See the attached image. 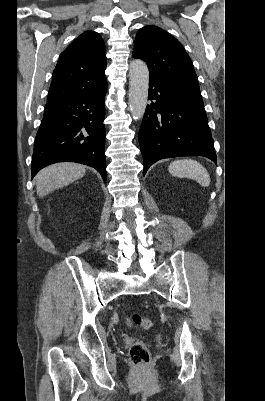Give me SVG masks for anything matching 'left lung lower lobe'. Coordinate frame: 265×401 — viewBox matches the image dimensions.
Wrapping results in <instances>:
<instances>
[{
  "instance_id": "obj_1",
  "label": "left lung lower lobe",
  "mask_w": 265,
  "mask_h": 401,
  "mask_svg": "<svg viewBox=\"0 0 265 401\" xmlns=\"http://www.w3.org/2000/svg\"><path fill=\"white\" fill-rule=\"evenodd\" d=\"M149 99L139 131L144 175L155 162L179 156H204L217 162L199 88L149 79Z\"/></svg>"
}]
</instances>
